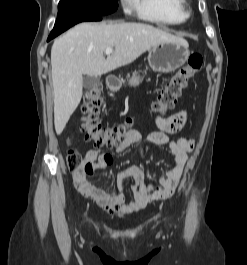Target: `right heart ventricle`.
Returning <instances> with one entry per match:
<instances>
[{
  "label": "right heart ventricle",
  "instance_id": "1",
  "mask_svg": "<svg viewBox=\"0 0 247 265\" xmlns=\"http://www.w3.org/2000/svg\"><path fill=\"white\" fill-rule=\"evenodd\" d=\"M138 16L161 25H178L188 18L186 0H134Z\"/></svg>",
  "mask_w": 247,
  "mask_h": 265
}]
</instances>
